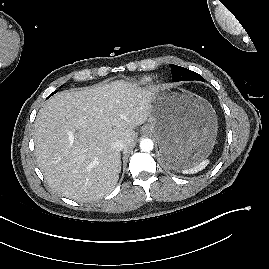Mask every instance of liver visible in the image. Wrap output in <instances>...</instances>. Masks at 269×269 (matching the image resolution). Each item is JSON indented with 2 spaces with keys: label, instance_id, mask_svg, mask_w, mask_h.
<instances>
[{
  "label": "liver",
  "instance_id": "1",
  "mask_svg": "<svg viewBox=\"0 0 269 269\" xmlns=\"http://www.w3.org/2000/svg\"><path fill=\"white\" fill-rule=\"evenodd\" d=\"M156 88L124 80L62 91L39 110L34 123L38 166L59 194L90 202L111 192L121 171L111 144L134 146V127L145 123Z\"/></svg>",
  "mask_w": 269,
  "mask_h": 269
}]
</instances>
